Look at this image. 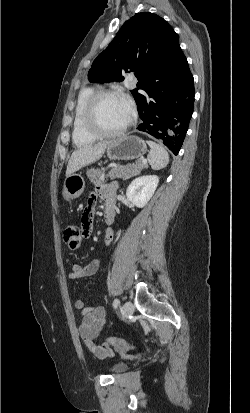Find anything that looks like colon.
<instances>
[{"label": "colon", "mask_w": 250, "mask_h": 413, "mask_svg": "<svg viewBox=\"0 0 250 413\" xmlns=\"http://www.w3.org/2000/svg\"><path fill=\"white\" fill-rule=\"evenodd\" d=\"M151 174L155 175L156 171L152 170ZM64 240L69 249H78L81 246L82 242V237L80 236V228L75 224H69L64 230ZM101 345L115 347L123 353L135 349V346L128 343L126 340L116 337L107 338L103 343H101Z\"/></svg>", "instance_id": "5ec220e1"}]
</instances>
